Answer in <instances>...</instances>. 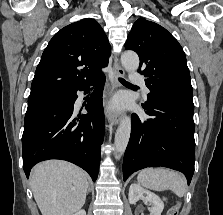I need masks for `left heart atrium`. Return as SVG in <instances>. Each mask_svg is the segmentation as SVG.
<instances>
[{"label": "left heart atrium", "instance_id": "39dd6f15", "mask_svg": "<svg viewBox=\"0 0 223 215\" xmlns=\"http://www.w3.org/2000/svg\"><path fill=\"white\" fill-rule=\"evenodd\" d=\"M115 104H116L117 106H121V105H122V102H121L120 100H118V101L115 102Z\"/></svg>", "mask_w": 223, "mask_h": 215}]
</instances>
